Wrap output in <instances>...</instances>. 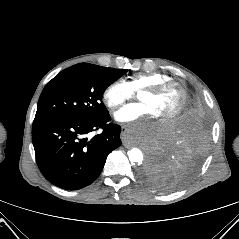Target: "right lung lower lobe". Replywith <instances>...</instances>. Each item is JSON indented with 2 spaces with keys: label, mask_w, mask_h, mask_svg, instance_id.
I'll return each mask as SVG.
<instances>
[{
  "label": "right lung lower lobe",
  "mask_w": 239,
  "mask_h": 239,
  "mask_svg": "<svg viewBox=\"0 0 239 239\" xmlns=\"http://www.w3.org/2000/svg\"><path fill=\"white\" fill-rule=\"evenodd\" d=\"M109 113L85 120L67 117L35 118L32 141L37 165L52 184L77 190L100 175L110 152L121 145V127L108 123ZM102 128L100 134H87Z\"/></svg>",
  "instance_id": "right-lung-lower-lobe-1"
}]
</instances>
